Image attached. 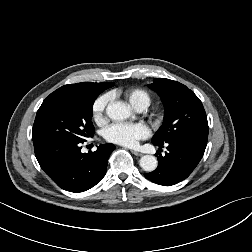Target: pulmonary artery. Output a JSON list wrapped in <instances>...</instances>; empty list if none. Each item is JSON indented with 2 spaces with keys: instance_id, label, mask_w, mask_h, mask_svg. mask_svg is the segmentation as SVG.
I'll use <instances>...</instances> for the list:
<instances>
[{
  "instance_id": "obj_1",
  "label": "pulmonary artery",
  "mask_w": 252,
  "mask_h": 252,
  "mask_svg": "<svg viewBox=\"0 0 252 252\" xmlns=\"http://www.w3.org/2000/svg\"><path fill=\"white\" fill-rule=\"evenodd\" d=\"M136 110L141 112V111L145 110V107H138V108H136Z\"/></svg>"
}]
</instances>
